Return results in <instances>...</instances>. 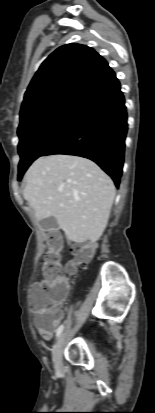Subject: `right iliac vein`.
Returning <instances> with one entry per match:
<instances>
[{"instance_id": "63e3f726", "label": "right iliac vein", "mask_w": 155, "mask_h": 413, "mask_svg": "<svg viewBox=\"0 0 155 413\" xmlns=\"http://www.w3.org/2000/svg\"><path fill=\"white\" fill-rule=\"evenodd\" d=\"M65 340V332L61 333L54 345L53 348V361L54 366L57 370L62 369V354H63V345Z\"/></svg>"}]
</instances>
